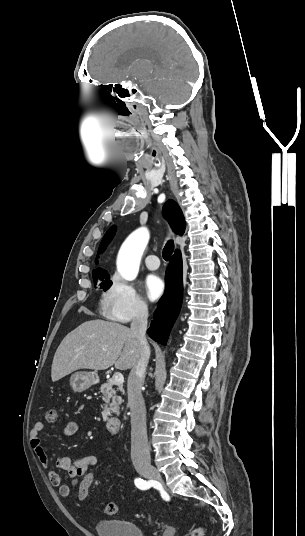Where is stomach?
Masks as SVG:
<instances>
[{"label": "stomach", "mask_w": 305, "mask_h": 536, "mask_svg": "<svg viewBox=\"0 0 305 536\" xmlns=\"http://www.w3.org/2000/svg\"><path fill=\"white\" fill-rule=\"evenodd\" d=\"M99 378L95 372H76L70 378V386L74 392H85L93 384H98Z\"/></svg>", "instance_id": "obj_1"}]
</instances>
